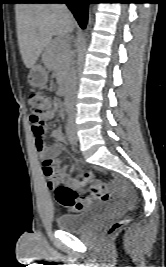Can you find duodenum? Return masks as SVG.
I'll return each mask as SVG.
<instances>
[{
    "label": "duodenum",
    "instance_id": "410a0bca",
    "mask_svg": "<svg viewBox=\"0 0 166 267\" xmlns=\"http://www.w3.org/2000/svg\"><path fill=\"white\" fill-rule=\"evenodd\" d=\"M59 92H60V95L62 97L66 95V92H67V83L66 82L61 83Z\"/></svg>",
    "mask_w": 166,
    "mask_h": 267
}]
</instances>
